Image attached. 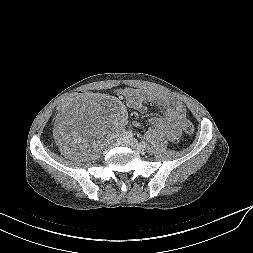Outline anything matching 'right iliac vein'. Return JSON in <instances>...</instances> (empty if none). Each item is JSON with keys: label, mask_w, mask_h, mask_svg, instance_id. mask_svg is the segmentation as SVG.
I'll return each mask as SVG.
<instances>
[{"label": "right iliac vein", "mask_w": 253, "mask_h": 253, "mask_svg": "<svg viewBox=\"0 0 253 253\" xmlns=\"http://www.w3.org/2000/svg\"><path fill=\"white\" fill-rule=\"evenodd\" d=\"M126 136L125 135H120L118 138H117V141H116V144H122L125 140Z\"/></svg>", "instance_id": "obj_1"}]
</instances>
